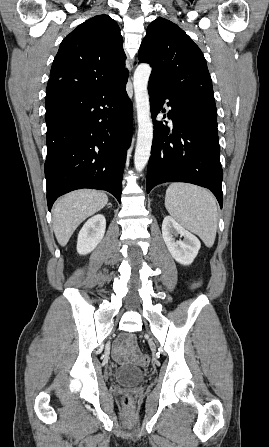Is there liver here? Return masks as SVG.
<instances>
[{
	"instance_id": "obj_1",
	"label": "liver",
	"mask_w": 269,
	"mask_h": 447,
	"mask_svg": "<svg viewBox=\"0 0 269 447\" xmlns=\"http://www.w3.org/2000/svg\"><path fill=\"white\" fill-rule=\"evenodd\" d=\"M108 198L97 190H75L62 196L53 208V227L60 245H66L73 231L89 216L106 206Z\"/></svg>"
}]
</instances>
